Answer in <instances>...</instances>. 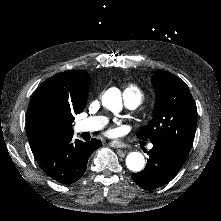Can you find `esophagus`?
<instances>
[{
	"instance_id": "obj_1",
	"label": "esophagus",
	"mask_w": 221,
	"mask_h": 221,
	"mask_svg": "<svg viewBox=\"0 0 221 221\" xmlns=\"http://www.w3.org/2000/svg\"><path fill=\"white\" fill-rule=\"evenodd\" d=\"M109 145L114 148H126L127 145L119 141H110Z\"/></svg>"
}]
</instances>
